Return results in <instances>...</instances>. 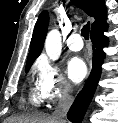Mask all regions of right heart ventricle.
Here are the masks:
<instances>
[{"mask_svg": "<svg viewBox=\"0 0 118 123\" xmlns=\"http://www.w3.org/2000/svg\"><path fill=\"white\" fill-rule=\"evenodd\" d=\"M30 100L34 105H39L44 98L42 97L38 87L32 88L30 92Z\"/></svg>", "mask_w": 118, "mask_h": 123, "instance_id": "obj_1", "label": "right heart ventricle"}]
</instances>
